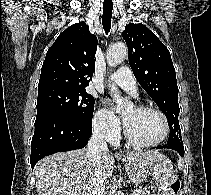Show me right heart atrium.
Instances as JSON below:
<instances>
[{
  "instance_id": "1",
  "label": "right heart atrium",
  "mask_w": 211,
  "mask_h": 195,
  "mask_svg": "<svg viewBox=\"0 0 211 195\" xmlns=\"http://www.w3.org/2000/svg\"><path fill=\"white\" fill-rule=\"evenodd\" d=\"M93 127L95 131L110 142H116L121 132L119 118L109 109L100 107L94 114Z\"/></svg>"
}]
</instances>
